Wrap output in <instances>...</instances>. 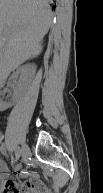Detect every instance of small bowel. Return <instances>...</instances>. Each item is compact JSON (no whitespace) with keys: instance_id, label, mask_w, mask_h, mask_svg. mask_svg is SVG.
Here are the masks:
<instances>
[{"instance_id":"1","label":"small bowel","mask_w":103,"mask_h":193,"mask_svg":"<svg viewBox=\"0 0 103 193\" xmlns=\"http://www.w3.org/2000/svg\"><path fill=\"white\" fill-rule=\"evenodd\" d=\"M1 152L4 156H7L6 149L2 143L0 146ZM21 165H14L12 170L17 172L21 170ZM10 169L6 164L2 163L0 166V181H1V193H19L18 188L20 186L25 187L26 193H53L49 186L40 182L38 175L32 171H23L20 173V177L26 180L24 185H18L10 178Z\"/></svg>"}]
</instances>
